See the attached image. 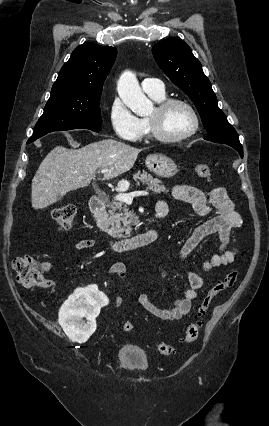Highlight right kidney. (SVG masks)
<instances>
[{"label":"right kidney","instance_id":"right-kidney-1","mask_svg":"<svg viewBox=\"0 0 269 426\" xmlns=\"http://www.w3.org/2000/svg\"><path fill=\"white\" fill-rule=\"evenodd\" d=\"M108 303V298L95 285L77 289L69 296L59 311V323L69 339L86 342L96 330L95 319L101 306Z\"/></svg>","mask_w":269,"mask_h":426}]
</instances>
